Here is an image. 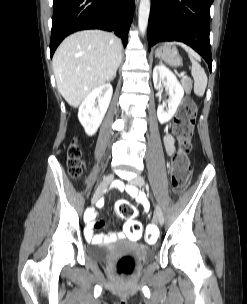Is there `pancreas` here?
<instances>
[{
  "instance_id": "cf45deb5",
  "label": "pancreas",
  "mask_w": 247,
  "mask_h": 304,
  "mask_svg": "<svg viewBox=\"0 0 247 304\" xmlns=\"http://www.w3.org/2000/svg\"><path fill=\"white\" fill-rule=\"evenodd\" d=\"M185 90L187 93H190L191 89H192V83H191V80L190 79H187V78H183L181 80Z\"/></svg>"
}]
</instances>
